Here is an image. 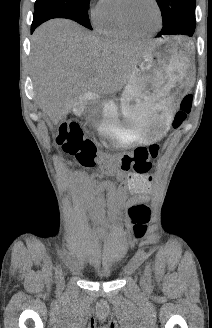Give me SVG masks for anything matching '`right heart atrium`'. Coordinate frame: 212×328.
Here are the masks:
<instances>
[{
    "label": "right heart atrium",
    "mask_w": 212,
    "mask_h": 328,
    "mask_svg": "<svg viewBox=\"0 0 212 328\" xmlns=\"http://www.w3.org/2000/svg\"><path fill=\"white\" fill-rule=\"evenodd\" d=\"M100 1H101V0H100ZM97 10H98V8H96V9H94V10L92 11V17H93V18L95 17Z\"/></svg>",
    "instance_id": "1"
}]
</instances>
